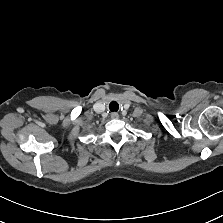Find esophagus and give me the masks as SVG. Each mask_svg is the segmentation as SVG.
I'll use <instances>...</instances> for the list:
<instances>
[{
	"mask_svg": "<svg viewBox=\"0 0 223 223\" xmlns=\"http://www.w3.org/2000/svg\"><path fill=\"white\" fill-rule=\"evenodd\" d=\"M111 118H112V119H118V118H119L118 113L113 112V113L111 114Z\"/></svg>",
	"mask_w": 223,
	"mask_h": 223,
	"instance_id": "esophagus-1",
	"label": "esophagus"
}]
</instances>
